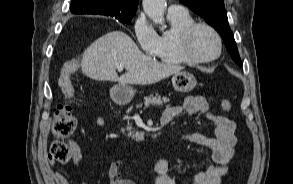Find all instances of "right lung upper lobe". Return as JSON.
<instances>
[{"label": "right lung upper lobe", "instance_id": "1", "mask_svg": "<svg viewBox=\"0 0 293 184\" xmlns=\"http://www.w3.org/2000/svg\"><path fill=\"white\" fill-rule=\"evenodd\" d=\"M139 0H71L74 14H99L119 18L133 17Z\"/></svg>", "mask_w": 293, "mask_h": 184}]
</instances>
